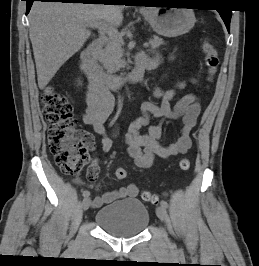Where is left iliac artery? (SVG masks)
<instances>
[{"label": "left iliac artery", "instance_id": "44dca946", "mask_svg": "<svg viewBox=\"0 0 259 266\" xmlns=\"http://www.w3.org/2000/svg\"><path fill=\"white\" fill-rule=\"evenodd\" d=\"M160 205H161L162 207H164V208H168V203H167L166 201H164V200H162V201L160 202Z\"/></svg>", "mask_w": 259, "mask_h": 266}]
</instances>
